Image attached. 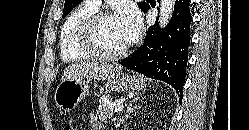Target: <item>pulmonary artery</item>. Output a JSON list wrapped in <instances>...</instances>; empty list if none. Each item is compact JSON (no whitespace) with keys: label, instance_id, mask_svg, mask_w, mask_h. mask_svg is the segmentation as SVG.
I'll list each match as a JSON object with an SVG mask.
<instances>
[{"label":"pulmonary artery","instance_id":"obj_1","mask_svg":"<svg viewBox=\"0 0 249 130\" xmlns=\"http://www.w3.org/2000/svg\"><path fill=\"white\" fill-rule=\"evenodd\" d=\"M92 3H94L97 6L101 5V0H90Z\"/></svg>","mask_w":249,"mask_h":130}]
</instances>
